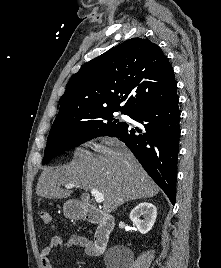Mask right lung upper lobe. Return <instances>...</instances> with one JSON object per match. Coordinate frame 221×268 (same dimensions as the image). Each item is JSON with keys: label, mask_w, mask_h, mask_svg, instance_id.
I'll return each instance as SVG.
<instances>
[{"label": "right lung upper lobe", "mask_w": 221, "mask_h": 268, "mask_svg": "<svg viewBox=\"0 0 221 268\" xmlns=\"http://www.w3.org/2000/svg\"><path fill=\"white\" fill-rule=\"evenodd\" d=\"M176 95L174 71L162 50L132 38L85 63L69 79L56 119L102 111L131 116Z\"/></svg>", "instance_id": "right-lung-upper-lobe-1"}]
</instances>
